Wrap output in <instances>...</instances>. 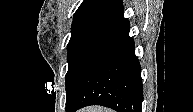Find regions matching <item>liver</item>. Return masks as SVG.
Instances as JSON below:
<instances>
[{"mask_svg":"<svg viewBox=\"0 0 193 112\" xmlns=\"http://www.w3.org/2000/svg\"><path fill=\"white\" fill-rule=\"evenodd\" d=\"M79 112H112V110L100 106H91L80 109Z\"/></svg>","mask_w":193,"mask_h":112,"instance_id":"6515ba94","label":"liver"}]
</instances>
